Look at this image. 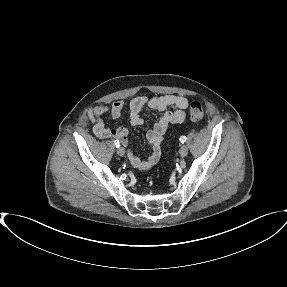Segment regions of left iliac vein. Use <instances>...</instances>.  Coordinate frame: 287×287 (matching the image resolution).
Masks as SVG:
<instances>
[{
	"mask_svg": "<svg viewBox=\"0 0 287 287\" xmlns=\"http://www.w3.org/2000/svg\"><path fill=\"white\" fill-rule=\"evenodd\" d=\"M180 156L185 157L188 153V148L185 145H182L179 150Z\"/></svg>",
	"mask_w": 287,
	"mask_h": 287,
	"instance_id": "left-iliac-vein-1",
	"label": "left iliac vein"
}]
</instances>
